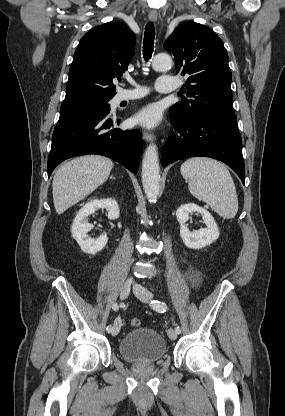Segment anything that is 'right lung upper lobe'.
Masks as SVG:
<instances>
[{
    "instance_id": "1",
    "label": "right lung upper lobe",
    "mask_w": 285,
    "mask_h": 416,
    "mask_svg": "<svg viewBox=\"0 0 285 416\" xmlns=\"http://www.w3.org/2000/svg\"><path fill=\"white\" fill-rule=\"evenodd\" d=\"M136 37L124 23L108 22L86 33L69 69L64 102L107 100L116 94L113 79L128 67Z\"/></svg>"
}]
</instances>
